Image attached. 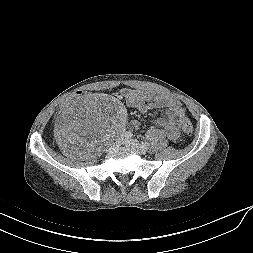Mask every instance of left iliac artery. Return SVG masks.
<instances>
[{
	"label": "left iliac artery",
	"instance_id": "1",
	"mask_svg": "<svg viewBox=\"0 0 253 253\" xmlns=\"http://www.w3.org/2000/svg\"><path fill=\"white\" fill-rule=\"evenodd\" d=\"M149 146L148 142H142V147L147 148Z\"/></svg>",
	"mask_w": 253,
	"mask_h": 253
}]
</instances>
